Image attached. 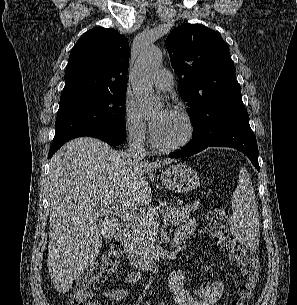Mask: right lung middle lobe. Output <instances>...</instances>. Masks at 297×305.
Returning a JSON list of instances; mask_svg holds the SVG:
<instances>
[{"label": "right lung middle lobe", "instance_id": "obj_1", "mask_svg": "<svg viewBox=\"0 0 297 305\" xmlns=\"http://www.w3.org/2000/svg\"><path fill=\"white\" fill-rule=\"evenodd\" d=\"M125 94L92 93L60 99L51 147L89 130L125 131Z\"/></svg>", "mask_w": 297, "mask_h": 305}]
</instances>
